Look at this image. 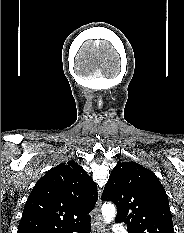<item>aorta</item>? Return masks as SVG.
<instances>
[{
  "instance_id": "aorta-1",
  "label": "aorta",
  "mask_w": 184,
  "mask_h": 233,
  "mask_svg": "<svg viewBox=\"0 0 184 233\" xmlns=\"http://www.w3.org/2000/svg\"><path fill=\"white\" fill-rule=\"evenodd\" d=\"M102 215L105 223L109 224L112 222L116 215L115 206L111 203H104L102 206Z\"/></svg>"
}]
</instances>
